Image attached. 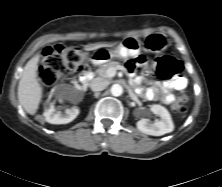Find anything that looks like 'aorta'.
<instances>
[{
  "label": "aorta",
  "instance_id": "1",
  "mask_svg": "<svg viewBox=\"0 0 222 187\" xmlns=\"http://www.w3.org/2000/svg\"><path fill=\"white\" fill-rule=\"evenodd\" d=\"M110 92L113 96H120L123 93V88L119 84H113L111 86Z\"/></svg>",
  "mask_w": 222,
  "mask_h": 187
}]
</instances>
